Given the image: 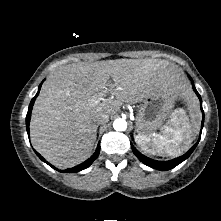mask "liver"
I'll list each match as a JSON object with an SVG mask.
<instances>
[{"mask_svg": "<svg viewBox=\"0 0 221 221\" xmlns=\"http://www.w3.org/2000/svg\"><path fill=\"white\" fill-rule=\"evenodd\" d=\"M168 65L164 60L116 59L60 67L48 76L32 110L34 148L58 168L85 161L96 140L97 114L114 115L124 102H140L169 82L176 81L181 92L179 75ZM107 86L115 99L102 98Z\"/></svg>", "mask_w": 221, "mask_h": 221, "instance_id": "1", "label": "liver"}]
</instances>
